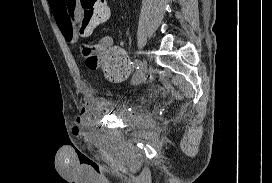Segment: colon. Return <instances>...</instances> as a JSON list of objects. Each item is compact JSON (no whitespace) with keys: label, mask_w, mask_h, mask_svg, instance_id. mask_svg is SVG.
Returning a JSON list of instances; mask_svg holds the SVG:
<instances>
[{"label":"colon","mask_w":272,"mask_h":183,"mask_svg":"<svg viewBox=\"0 0 272 183\" xmlns=\"http://www.w3.org/2000/svg\"><path fill=\"white\" fill-rule=\"evenodd\" d=\"M67 20L72 28L81 34H90L98 25L109 17V8L106 0H67ZM76 13L78 15L76 16ZM86 64L95 69L100 65H110L113 61L111 55H104L97 46L84 48Z\"/></svg>","instance_id":"obj_1"}]
</instances>
